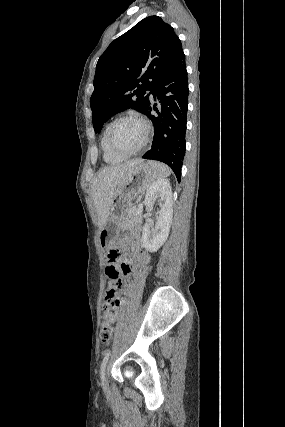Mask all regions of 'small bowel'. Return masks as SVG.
<instances>
[{
	"label": "small bowel",
	"instance_id": "1",
	"mask_svg": "<svg viewBox=\"0 0 285 427\" xmlns=\"http://www.w3.org/2000/svg\"><path fill=\"white\" fill-rule=\"evenodd\" d=\"M139 232H140L139 226L134 227L133 230L131 231L132 236H131L130 241H129L131 251H132L131 260L136 262L137 264L148 263L149 262V256L146 253H144L141 249ZM120 265L122 266V264L120 262L116 263V266H120ZM108 291L110 292L111 297H113L115 299H119L121 302L119 307H118V314L115 318V321H116L119 319L120 314L123 312L124 307L126 305L125 300L122 298L123 290L121 287L120 288L108 287Z\"/></svg>",
	"mask_w": 285,
	"mask_h": 427
}]
</instances>
